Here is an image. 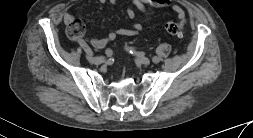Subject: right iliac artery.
<instances>
[{
	"label": "right iliac artery",
	"mask_w": 253,
	"mask_h": 138,
	"mask_svg": "<svg viewBox=\"0 0 253 138\" xmlns=\"http://www.w3.org/2000/svg\"><path fill=\"white\" fill-rule=\"evenodd\" d=\"M78 44L88 54V56L92 57V49L88 46V44L83 39H80L78 41ZM106 54L109 57L111 55V50H107Z\"/></svg>",
	"instance_id": "obj_1"
}]
</instances>
